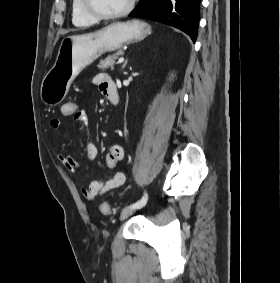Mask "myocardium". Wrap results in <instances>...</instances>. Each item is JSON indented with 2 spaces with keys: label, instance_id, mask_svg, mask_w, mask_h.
<instances>
[{
  "label": "myocardium",
  "instance_id": "myocardium-1",
  "mask_svg": "<svg viewBox=\"0 0 280 283\" xmlns=\"http://www.w3.org/2000/svg\"><path fill=\"white\" fill-rule=\"evenodd\" d=\"M135 2L136 0H129L127 6L124 9L113 14L100 13L91 6L90 0H82V5L84 11L92 18L96 19L97 21H107V20L119 19L128 15L134 8Z\"/></svg>",
  "mask_w": 280,
  "mask_h": 283
}]
</instances>
